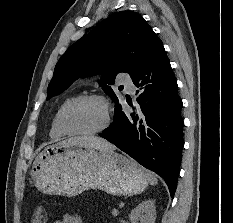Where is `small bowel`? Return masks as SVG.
<instances>
[{"label": "small bowel", "mask_w": 233, "mask_h": 223, "mask_svg": "<svg viewBox=\"0 0 233 223\" xmlns=\"http://www.w3.org/2000/svg\"><path fill=\"white\" fill-rule=\"evenodd\" d=\"M54 223H83V220L77 214H65L61 219L56 220Z\"/></svg>", "instance_id": "1"}]
</instances>
